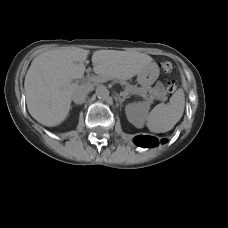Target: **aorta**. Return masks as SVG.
Listing matches in <instances>:
<instances>
[{"instance_id":"1","label":"aorta","mask_w":228,"mask_h":228,"mask_svg":"<svg viewBox=\"0 0 228 228\" xmlns=\"http://www.w3.org/2000/svg\"><path fill=\"white\" fill-rule=\"evenodd\" d=\"M96 96L101 101H107L110 98L108 89L102 85L96 88Z\"/></svg>"}]
</instances>
